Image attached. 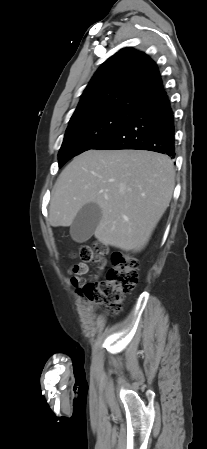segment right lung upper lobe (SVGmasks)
I'll return each instance as SVG.
<instances>
[{
	"mask_svg": "<svg viewBox=\"0 0 207 449\" xmlns=\"http://www.w3.org/2000/svg\"><path fill=\"white\" fill-rule=\"evenodd\" d=\"M165 94L154 61L142 52L124 48L100 66L71 118L111 109L137 111Z\"/></svg>",
	"mask_w": 207,
	"mask_h": 449,
	"instance_id": "right-lung-upper-lobe-1",
	"label": "right lung upper lobe"
}]
</instances>
